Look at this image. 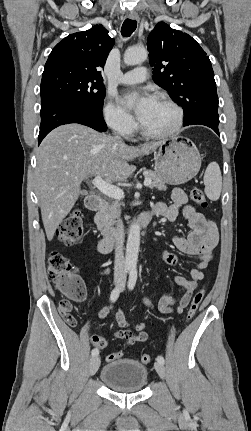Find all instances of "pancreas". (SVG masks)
I'll return each instance as SVG.
<instances>
[{
  "instance_id": "obj_1",
  "label": "pancreas",
  "mask_w": 251,
  "mask_h": 431,
  "mask_svg": "<svg viewBox=\"0 0 251 431\" xmlns=\"http://www.w3.org/2000/svg\"><path fill=\"white\" fill-rule=\"evenodd\" d=\"M145 178L151 179V184L149 187L151 189L157 188L158 190H166L167 186L164 181H162L156 172L147 170L144 172ZM120 206L121 203L118 201H112L106 204L96 216V224L99 226L102 234L106 237L111 236L114 229L113 225L116 219L120 216Z\"/></svg>"
}]
</instances>
